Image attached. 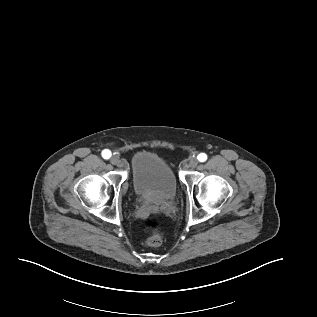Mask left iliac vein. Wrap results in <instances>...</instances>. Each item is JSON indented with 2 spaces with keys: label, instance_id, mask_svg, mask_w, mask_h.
Returning <instances> with one entry per match:
<instances>
[{
  "label": "left iliac vein",
  "instance_id": "1",
  "mask_svg": "<svg viewBox=\"0 0 317 317\" xmlns=\"http://www.w3.org/2000/svg\"><path fill=\"white\" fill-rule=\"evenodd\" d=\"M197 165H198V160L195 157L189 159L188 166L190 168H195Z\"/></svg>",
  "mask_w": 317,
  "mask_h": 317
}]
</instances>
